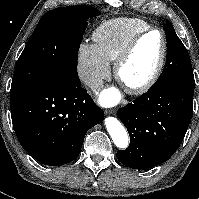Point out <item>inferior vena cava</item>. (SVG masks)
<instances>
[{
    "label": "inferior vena cava",
    "mask_w": 199,
    "mask_h": 199,
    "mask_svg": "<svg viewBox=\"0 0 199 199\" xmlns=\"http://www.w3.org/2000/svg\"><path fill=\"white\" fill-rule=\"evenodd\" d=\"M84 82L91 89H99L103 86V80L99 77H96V76H85Z\"/></svg>",
    "instance_id": "obj_1"
}]
</instances>
